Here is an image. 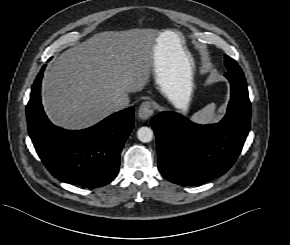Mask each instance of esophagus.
<instances>
[{"mask_svg":"<svg viewBox=\"0 0 290 245\" xmlns=\"http://www.w3.org/2000/svg\"><path fill=\"white\" fill-rule=\"evenodd\" d=\"M154 109L149 101L143 102L138 110V116L142 120H147L153 115Z\"/></svg>","mask_w":290,"mask_h":245,"instance_id":"esophagus-1","label":"esophagus"}]
</instances>
